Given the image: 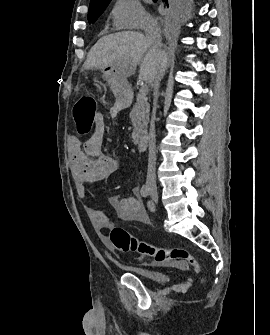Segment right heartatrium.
<instances>
[{"instance_id":"right-heart-atrium-1","label":"right heart atrium","mask_w":270,"mask_h":335,"mask_svg":"<svg viewBox=\"0 0 270 335\" xmlns=\"http://www.w3.org/2000/svg\"><path fill=\"white\" fill-rule=\"evenodd\" d=\"M112 14L118 29L139 30V25H158L138 0H115Z\"/></svg>"}]
</instances>
